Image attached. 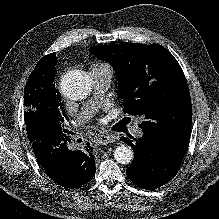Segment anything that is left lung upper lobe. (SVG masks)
Wrapping results in <instances>:
<instances>
[{
    "label": "left lung upper lobe",
    "mask_w": 219,
    "mask_h": 219,
    "mask_svg": "<svg viewBox=\"0 0 219 219\" xmlns=\"http://www.w3.org/2000/svg\"><path fill=\"white\" fill-rule=\"evenodd\" d=\"M90 52L116 71L124 110L144 117L143 131L170 138L190 137L192 107L184 73L173 55L158 44L121 42Z\"/></svg>",
    "instance_id": "left-lung-upper-lobe-1"
}]
</instances>
